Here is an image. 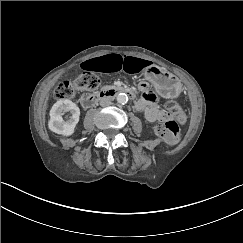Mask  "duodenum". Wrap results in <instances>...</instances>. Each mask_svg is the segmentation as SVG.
I'll list each match as a JSON object with an SVG mask.
<instances>
[{"instance_id":"1","label":"duodenum","mask_w":243,"mask_h":243,"mask_svg":"<svg viewBox=\"0 0 243 243\" xmlns=\"http://www.w3.org/2000/svg\"><path fill=\"white\" fill-rule=\"evenodd\" d=\"M124 93L128 95L130 98H135L136 94L133 90L126 87H112L105 90H102L95 94H84L81 97V104L85 108L92 107L98 101L105 99V98H114L118 94Z\"/></svg>"}]
</instances>
